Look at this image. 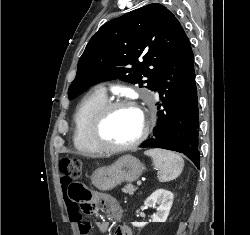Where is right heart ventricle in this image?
<instances>
[{
  "instance_id": "right-heart-ventricle-1",
  "label": "right heart ventricle",
  "mask_w": 250,
  "mask_h": 235,
  "mask_svg": "<svg viewBox=\"0 0 250 235\" xmlns=\"http://www.w3.org/2000/svg\"><path fill=\"white\" fill-rule=\"evenodd\" d=\"M106 101L105 92L102 89H98L85 96L75 111L73 143L77 151L82 155L95 156L104 152L92 142L89 130L95 113Z\"/></svg>"
}]
</instances>
